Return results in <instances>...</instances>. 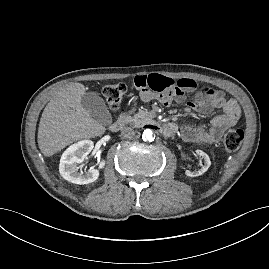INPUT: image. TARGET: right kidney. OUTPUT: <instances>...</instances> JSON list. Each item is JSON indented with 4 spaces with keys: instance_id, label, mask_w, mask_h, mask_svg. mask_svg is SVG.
Instances as JSON below:
<instances>
[{
    "instance_id": "ca27d5eb",
    "label": "right kidney",
    "mask_w": 269,
    "mask_h": 269,
    "mask_svg": "<svg viewBox=\"0 0 269 269\" xmlns=\"http://www.w3.org/2000/svg\"><path fill=\"white\" fill-rule=\"evenodd\" d=\"M94 144L91 140H82L68 147L61 156L59 171L61 176L75 184L92 183L99 177V169L104 168L105 161L99 163L98 169H89L87 172L78 171L77 165L82 163L92 151Z\"/></svg>"
}]
</instances>
